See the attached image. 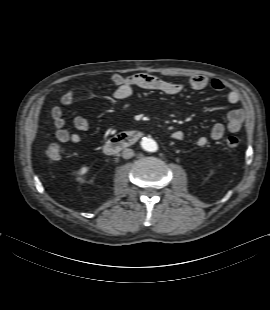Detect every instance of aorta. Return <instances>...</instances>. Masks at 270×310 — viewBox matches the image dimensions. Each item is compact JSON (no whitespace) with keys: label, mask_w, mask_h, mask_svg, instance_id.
<instances>
[{"label":"aorta","mask_w":270,"mask_h":310,"mask_svg":"<svg viewBox=\"0 0 270 310\" xmlns=\"http://www.w3.org/2000/svg\"><path fill=\"white\" fill-rule=\"evenodd\" d=\"M141 146L148 152H156L158 149L157 143L151 138H144L141 141Z\"/></svg>","instance_id":"762f6f07"}]
</instances>
